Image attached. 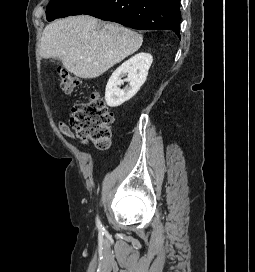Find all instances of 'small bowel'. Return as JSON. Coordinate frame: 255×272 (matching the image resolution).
<instances>
[{
    "label": "small bowel",
    "instance_id": "1",
    "mask_svg": "<svg viewBox=\"0 0 255 272\" xmlns=\"http://www.w3.org/2000/svg\"><path fill=\"white\" fill-rule=\"evenodd\" d=\"M58 128H59V131H60L64 136H66L67 138H70V139H73V138H74V135H73L71 129L69 128V126H68L66 123L60 121V122L58 123Z\"/></svg>",
    "mask_w": 255,
    "mask_h": 272
}]
</instances>
